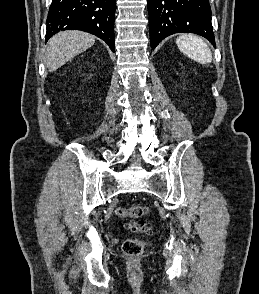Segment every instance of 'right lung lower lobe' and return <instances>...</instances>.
<instances>
[{"label": "right lung lower lobe", "instance_id": "98d812e1", "mask_svg": "<svg viewBox=\"0 0 259 294\" xmlns=\"http://www.w3.org/2000/svg\"><path fill=\"white\" fill-rule=\"evenodd\" d=\"M116 0H52L46 41L62 30H81L103 39L114 52Z\"/></svg>", "mask_w": 259, "mask_h": 294}]
</instances>
